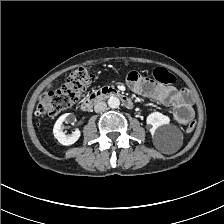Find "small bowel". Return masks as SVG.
Wrapping results in <instances>:
<instances>
[{"label":"small bowel","instance_id":"1","mask_svg":"<svg viewBox=\"0 0 224 224\" xmlns=\"http://www.w3.org/2000/svg\"><path fill=\"white\" fill-rule=\"evenodd\" d=\"M128 84L135 93L147 99L161 105H173L172 116L177 124L185 125L191 120L194 97L189 90L159 85L135 71L129 73Z\"/></svg>","mask_w":224,"mask_h":224}]
</instances>
